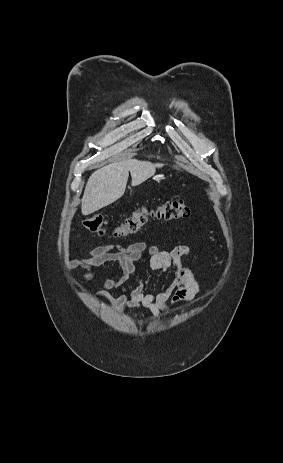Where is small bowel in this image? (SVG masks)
<instances>
[{
  "label": "small bowel",
  "instance_id": "small-bowel-1",
  "mask_svg": "<svg viewBox=\"0 0 283 463\" xmlns=\"http://www.w3.org/2000/svg\"><path fill=\"white\" fill-rule=\"evenodd\" d=\"M189 256L190 249L185 245H178L166 252L139 241L127 246L110 244L95 247L88 257L71 260L68 267L86 270L83 281H88L94 275L95 266L117 263L122 269V275L102 281L97 297L106 299L118 312L143 308L154 317H160L172 305L191 301L205 291L204 284L195 277L192 270L182 265L183 258ZM144 258L148 260V273L141 272L135 266L136 262ZM168 271H171V276L167 283H156L157 289H151L154 282L152 273L165 274ZM131 277L138 279L136 286L128 284ZM109 290H118L119 294L112 296Z\"/></svg>",
  "mask_w": 283,
  "mask_h": 463
}]
</instances>
